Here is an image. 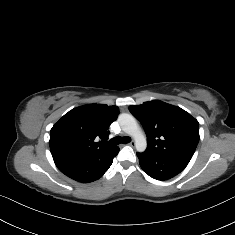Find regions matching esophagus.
<instances>
[{
	"mask_svg": "<svg viewBox=\"0 0 235 235\" xmlns=\"http://www.w3.org/2000/svg\"><path fill=\"white\" fill-rule=\"evenodd\" d=\"M128 145L134 147L135 146V142L131 141L130 143H128Z\"/></svg>",
	"mask_w": 235,
	"mask_h": 235,
	"instance_id": "34e87169",
	"label": "esophagus"
}]
</instances>
